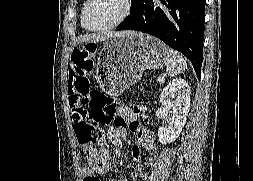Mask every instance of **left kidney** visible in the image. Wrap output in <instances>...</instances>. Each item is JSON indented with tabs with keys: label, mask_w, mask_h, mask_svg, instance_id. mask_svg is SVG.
Wrapping results in <instances>:
<instances>
[{
	"label": "left kidney",
	"mask_w": 253,
	"mask_h": 181,
	"mask_svg": "<svg viewBox=\"0 0 253 181\" xmlns=\"http://www.w3.org/2000/svg\"><path fill=\"white\" fill-rule=\"evenodd\" d=\"M191 89L186 81L176 78L164 87L160 95V104L163 106V115L171 113L168 127L158 128V137L161 144L166 145L179 137L185 125L190 108Z\"/></svg>",
	"instance_id": "left-kidney-1"
}]
</instances>
